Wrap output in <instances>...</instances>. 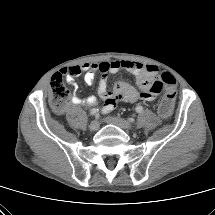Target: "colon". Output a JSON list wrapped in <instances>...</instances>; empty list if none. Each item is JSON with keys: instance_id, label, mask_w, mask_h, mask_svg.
Here are the masks:
<instances>
[{"instance_id": "1", "label": "colon", "mask_w": 215, "mask_h": 215, "mask_svg": "<svg viewBox=\"0 0 215 215\" xmlns=\"http://www.w3.org/2000/svg\"><path fill=\"white\" fill-rule=\"evenodd\" d=\"M175 79L170 73H162L160 80L154 82L152 91L161 92L166 88V93L158 105V112L163 117H168L172 112L176 99L174 89ZM69 90L64 84L62 75L56 73L50 81V104L56 112H62L66 106Z\"/></svg>"}]
</instances>
